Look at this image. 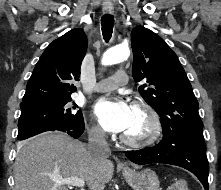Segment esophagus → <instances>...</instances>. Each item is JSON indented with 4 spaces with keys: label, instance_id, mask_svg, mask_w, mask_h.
I'll use <instances>...</instances> for the list:
<instances>
[{
    "label": "esophagus",
    "instance_id": "esophagus-1",
    "mask_svg": "<svg viewBox=\"0 0 221 190\" xmlns=\"http://www.w3.org/2000/svg\"><path fill=\"white\" fill-rule=\"evenodd\" d=\"M103 11L107 14H113L114 7L110 1H105L103 3Z\"/></svg>",
    "mask_w": 221,
    "mask_h": 190
}]
</instances>
